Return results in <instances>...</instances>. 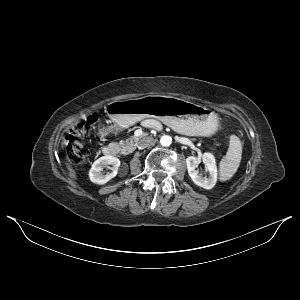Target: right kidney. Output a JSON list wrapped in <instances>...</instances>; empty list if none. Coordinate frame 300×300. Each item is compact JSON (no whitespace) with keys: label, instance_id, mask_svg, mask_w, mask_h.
I'll use <instances>...</instances> for the list:
<instances>
[{"label":"right kidney","instance_id":"ca27d5eb","mask_svg":"<svg viewBox=\"0 0 300 300\" xmlns=\"http://www.w3.org/2000/svg\"><path fill=\"white\" fill-rule=\"evenodd\" d=\"M111 166V167H110ZM120 160L114 156L107 155L100 157L93 164L89 171V178L95 184L103 185L117 175ZM108 168L111 172L103 174V169Z\"/></svg>","mask_w":300,"mask_h":300}]
</instances>
